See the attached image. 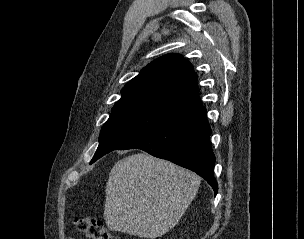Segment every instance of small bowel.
<instances>
[{"instance_id": "obj_1", "label": "small bowel", "mask_w": 304, "mask_h": 239, "mask_svg": "<svg viewBox=\"0 0 304 239\" xmlns=\"http://www.w3.org/2000/svg\"><path fill=\"white\" fill-rule=\"evenodd\" d=\"M67 239H75V238L69 237V238H67Z\"/></svg>"}]
</instances>
